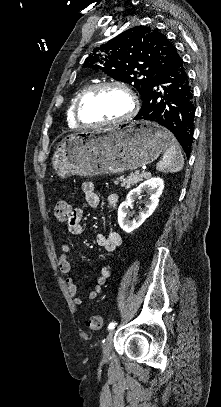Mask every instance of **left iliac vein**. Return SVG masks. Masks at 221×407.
Instances as JSON below:
<instances>
[{"mask_svg":"<svg viewBox=\"0 0 221 407\" xmlns=\"http://www.w3.org/2000/svg\"><path fill=\"white\" fill-rule=\"evenodd\" d=\"M114 332H115V330L111 329L103 343L102 353H103L104 359H108L110 357Z\"/></svg>","mask_w":221,"mask_h":407,"instance_id":"4c4485c4","label":"left iliac vein"}]
</instances>
